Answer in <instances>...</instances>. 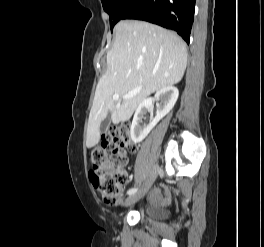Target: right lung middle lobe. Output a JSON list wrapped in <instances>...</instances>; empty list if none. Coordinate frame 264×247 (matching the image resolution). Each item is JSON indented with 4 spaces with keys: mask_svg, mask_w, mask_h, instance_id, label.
Wrapping results in <instances>:
<instances>
[{
    "mask_svg": "<svg viewBox=\"0 0 264 247\" xmlns=\"http://www.w3.org/2000/svg\"><path fill=\"white\" fill-rule=\"evenodd\" d=\"M103 9L109 14L111 30L122 19L123 14L133 0H101Z\"/></svg>",
    "mask_w": 264,
    "mask_h": 247,
    "instance_id": "dd1d6c3e",
    "label": "right lung middle lobe"
}]
</instances>
